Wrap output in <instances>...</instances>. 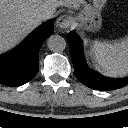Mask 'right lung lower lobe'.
Masks as SVG:
<instances>
[{
    "label": "right lung lower lobe",
    "instance_id": "right-lung-lower-lobe-1",
    "mask_svg": "<svg viewBox=\"0 0 128 128\" xmlns=\"http://www.w3.org/2000/svg\"><path fill=\"white\" fill-rule=\"evenodd\" d=\"M53 21L36 30L17 50L0 56V83L21 86L30 81L39 70V49L43 41L53 33Z\"/></svg>",
    "mask_w": 128,
    "mask_h": 128
}]
</instances>
